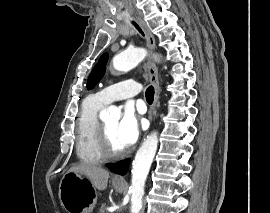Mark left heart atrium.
I'll use <instances>...</instances> for the list:
<instances>
[{
	"label": "left heart atrium",
	"mask_w": 270,
	"mask_h": 213,
	"mask_svg": "<svg viewBox=\"0 0 270 213\" xmlns=\"http://www.w3.org/2000/svg\"><path fill=\"white\" fill-rule=\"evenodd\" d=\"M117 138L123 147L127 149L134 145L139 138L140 123L131 107H126L116 130Z\"/></svg>",
	"instance_id": "39dd6f15"
}]
</instances>
